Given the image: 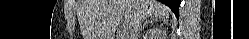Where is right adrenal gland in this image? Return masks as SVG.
I'll return each mask as SVG.
<instances>
[{
  "mask_svg": "<svg viewBox=\"0 0 249 39\" xmlns=\"http://www.w3.org/2000/svg\"><path fill=\"white\" fill-rule=\"evenodd\" d=\"M149 22L148 21H145V24H148ZM153 22L151 21L150 22V24H152ZM143 30V28L141 27V28H139V30H138V33L137 34H139L140 33V31H142Z\"/></svg>",
  "mask_w": 249,
  "mask_h": 39,
  "instance_id": "1",
  "label": "right adrenal gland"
}]
</instances>
